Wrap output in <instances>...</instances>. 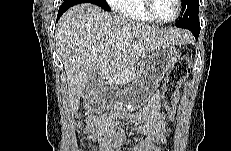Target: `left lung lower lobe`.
I'll list each match as a JSON object with an SVG mask.
<instances>
[{
    "label": "left lung lower lobe",
    "mask_w": 231,
    "mask_h": 151,
    "mask_svg": "<svg viewBox=\"0 0 231 151\" xmlns=\"http://www.w3.org/2000/svg\"><path fill=\"white\" fill-rule=\"evenodd\" d=\"M190 31L195 36V38L198 39V36H199V33H200V28L199 29H192Z\"/></svg>",
    "instance_id": "0a47b994"
}]
</instances>
